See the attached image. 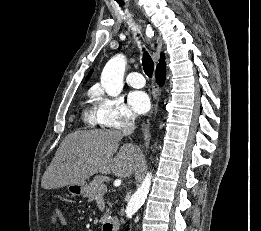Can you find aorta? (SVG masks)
<instances>
[{"instance_id":"obj_1","label":"aorta","mask_w":261,"mask_h":231,"mask_svg":"<svg viewBox=\"0 0 261 231\" xmlns=\"http://www.w3.org/2000/svg\"><path fill=\"white\" fill-rule=\"evenodd\" d=\"M125 66V57L123 55H117L107 62L102 71L101 85L111 97H117L122 92ZM151 179L152 174L147 173L141 185L132 195L125 210L127 218H131L143 205L149 193Z\"/></svg>"}]
</instances>
